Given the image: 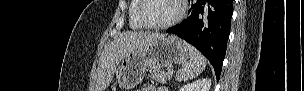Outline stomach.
I'll return each instance as SVG.
<instances>
[{"mask_svg":"<svg viewBox=\"0 0 304 91\" xmlns=\"http://www.w3.org/2000/svg\"><path fill=\"white\" fill-rule=\"evenodd\" d=\"M188 57L187 44L177 36L155 37L142 49L126 54L120 60L118 84L123 89H133L142 81L147 68L183 64Z\"/></svg>","mask_w":304,"mask_h":91,"instance_id":"obj_1","label":"stomach"}]
</instances>
